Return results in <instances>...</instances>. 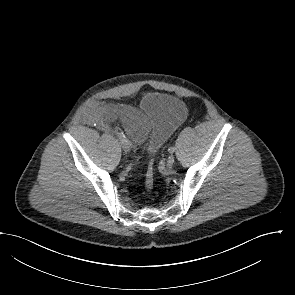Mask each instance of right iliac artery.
<instances>
[{"instance_id": "1", "label": "right iliac artery", "mask_w": 295, "mask_h": 295, "mask_svg": "<svg viewBox=\"0 0 295 295\" xmlns=\"http://www.w3.org/2000/svg\"><path fill=\"white\" fill-rule=\"evenodd\" d=\"M118 138L123 142L125 141V135L123 133H118Z\"/></svg>"}]
</instances>
